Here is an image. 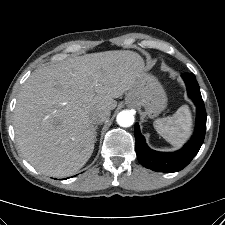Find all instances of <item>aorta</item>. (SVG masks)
I'll use <instances>...</instances> for the list:
<instances>
[{"label":"aorta","instance_id":"1","mask_svg":"<svg viewBox=\"0 0 225 225\" xmlns=\"http://www.w3.org/2000/svg\"><path fill=\"white\" fill-rule=\"evenodd\" d=\"M116 121L121 127H130L134 123V115L129 110H123L118 113Z\"/></svg>","mask_w":225,"mask_h":225}]
</instances>
